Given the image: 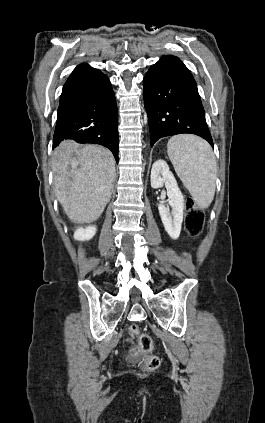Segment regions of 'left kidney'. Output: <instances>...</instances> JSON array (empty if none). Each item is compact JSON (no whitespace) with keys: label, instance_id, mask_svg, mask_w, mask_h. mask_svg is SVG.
<instances>
[{"label":"left kidney","instance_id":"left-kidney-1","mask_svg":"<svg viewBox=\"0 0 265 423\" xmlns=\"http://www.w3.org/2000/svg\"><path fill=\"white\" fill-rule=\"evenodd\" d=\"M164 184L167 189L172 214L170 215L169 210L163 204H159L158 210L165 230L172 239H177L180 235L183 221L184 197L174 175L169 170L168 164L164 160L159 159L152 166L151 186L152 188H161Z\"/></svg>","mask_w":265,"mask_h":423}]
</instances>
